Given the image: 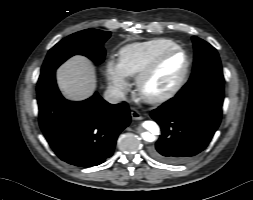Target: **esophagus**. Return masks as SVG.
Returning <instances> with one entry per match:
<instances>
[{
	"label": "esophagus",
	"instance_id": "34e87169",
	"mask_svg": "<svg viewBox=\"0 0 253 200\" xmlns=\"http://www.w3.org/2000/svg\"><path fill=\"white\" fill-rule=\"evenodd\" d=\"M131 117L133 120H142L143 119L142 115L136 110L131 111Z\"/></svg>",
	"mask_w": 253,
	"mask_h": 200
}]
</instances>
